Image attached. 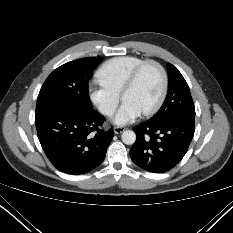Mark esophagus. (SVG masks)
Returning a JSON list of instances; mask_svg holds the SVG:
<instances>
[{
  "label": "esophagus",
  "instance_id": "34e87169",
  "mask_svg": "<svg viewBox=\"0 0 233 233\" xmlns=\"http://www.w3.org/2000/svg\"><path fill=\"white\" fill-rule=\"evenodd\" d=\"M124 130H125L124 127H115V128H114V133H115V134H120V133H122Z\"/></svg>",
  "mask_w": 233,
  "mask_h": 233
}]
</instances>
